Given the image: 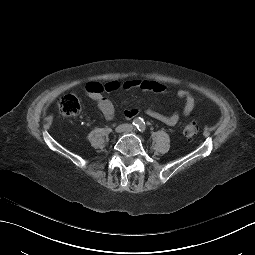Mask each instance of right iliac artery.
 Masks as SVG:
<instances>
[{
  "label": "right iliac artery",
  "instance_id": "1",
  "mask_svg": "<svg viewBox=\"0 0 255 255\" xmlns=\"http://www.w3.org/2000/svg\"><path fill=\"white\" fill-rule=\"evenodd\" d=\"M140 120L139 119H135L133 122H132V124H133V126L134 127H138L139 125H140Z\"/></svg>",
  "mask_w": 255,
  "mask_h": 255
}]
</instances>
